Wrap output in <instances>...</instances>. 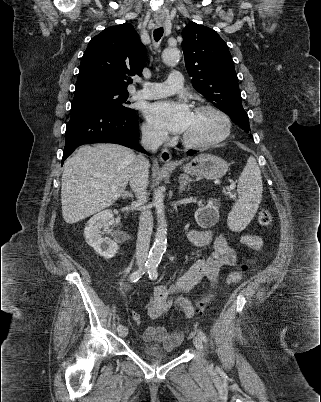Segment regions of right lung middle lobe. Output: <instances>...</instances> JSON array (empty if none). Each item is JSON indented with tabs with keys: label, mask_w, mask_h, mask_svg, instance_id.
I'll use <instances>...</instances> for the list:
<instances>
[{
	"label": "right lung middle lobe",
	"mask_w": 321,
	"mask_h": 402,
	"mask_svg": "<svg viewBox=\"0 0 321 402\" xmlns=\"http://www.w3.org/2000/svg\"><path fill=\"white\" fill-rule=\"evenodd\" d=\"M126 90L98 83L76 84L71 112L81 109L107 113L127 114L135 110L128 107Z\"/></svg>",
	"instance_id": "right-lung-middle-lobe-1"
}]
</instances>
